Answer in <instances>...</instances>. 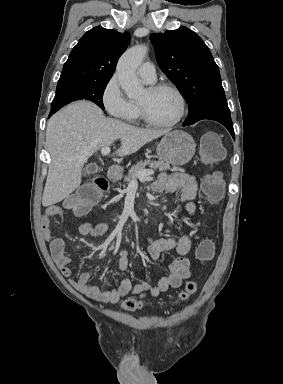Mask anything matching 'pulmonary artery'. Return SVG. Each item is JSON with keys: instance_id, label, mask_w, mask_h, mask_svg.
<instances>
[{"instance_id": "1", "label": "pulmonary artery", "mask_w": 283, "mask_h": 384, "mask_svg": "<svg viewBox=\"0 0 283 384\" xmlns=\"http://www.w3.org/2000/svg\"><path fill=\"white\" fill-rule=\"evenodd\" d=\"M138 76L148 83H153L156 80V70L152 63L143 62L137 70Z\"/></svg>"}]
</instances>
